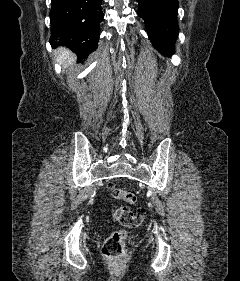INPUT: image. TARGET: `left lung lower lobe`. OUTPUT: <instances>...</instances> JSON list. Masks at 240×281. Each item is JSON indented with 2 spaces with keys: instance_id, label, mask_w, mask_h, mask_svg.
Instances as JSON below:
<instances>
[{
  "instance_id": "0a47b994",
  "label": "left lung lower lobe",
  "mask_w": 240,
  "mask_h": 281,
  "mask_svg": "<svg viewBox=\"0 0 240 281\" xmlns=\"http://www.w3.org/2000/svg\"><path fill=\"white\" fill-rule=\"evenodd\" d=\"M138 15L144 20L153 46L164 56L174 52L177 38L178 0H137Z\"/></svg>"
}]
</instances>
